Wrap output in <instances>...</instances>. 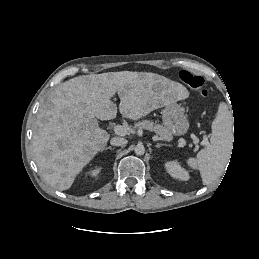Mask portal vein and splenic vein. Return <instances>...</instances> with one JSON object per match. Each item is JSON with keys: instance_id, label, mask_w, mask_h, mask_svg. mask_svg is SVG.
Masks as SVG:
<instances>
[{"instance_id": "1", "label": "portal vein and splenic vein", "mask_w": 259, "mask_h": 259, "mask_svg": "<svg viewBox=\"0 0 259 259\" xmlns=\"http://www.w3.org/2000/svg\"><path fill=\"white\" fill-rule=\"evenodd\" d=\"M114 132H115V134H117V135L124 136V135H126V134L128 133V130H127V128H125V127L122 126V125H116V126H114ZM192 139H193V143H194V144H198V143H199V139H198L196 136H193ZM201 144H202L203 146H207V145H208V140H207V139H204V140L201 142Z\"/></svg>"}]
</instances>
